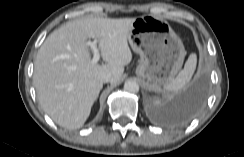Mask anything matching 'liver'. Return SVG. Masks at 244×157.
Listing matches in <instances>:
<instances>
[{
  "label": "liver",
  "instance_id": "liver-1",
  "mask_svg": "<svg viewBox=\"0 0 244 157\" xmlns=\"http://www.w3.org/2000/svg\"><path fill=\"white\" fill-rule=\"evenodd\" d=\"M135 18L86 17L63 24L39 48L33 82L42 109L58 125H84L103 88L100 76L117 83L132 60L128 33ZM97 40L105 64H93L87 39Z\"/></svg>",
  "mask_w": 244,
  "mask_h": 157
}]
</instances>
